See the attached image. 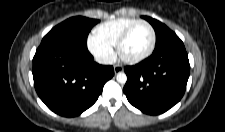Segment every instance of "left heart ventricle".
<instances>
[{
    "instance_id": "b2bd125f",
    "label": "left heart ventricle",
    "mask_w": 225,
    "mask_h": 132,
    "mask_svg": "<svg viewBox=\"0 0 225 132\" xmlns=\"http://www.w3.org/2000/svg\"><path fill=\"white\" fill-rule=\"evenodd\" d=\"M151 41V32L145 24L137 25L122 47L124 56L133 58L143 54L149 47Z\"/></svg>"
}]
</instances>
